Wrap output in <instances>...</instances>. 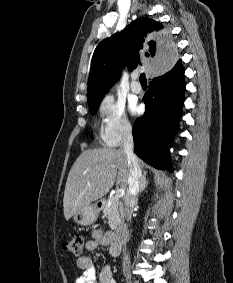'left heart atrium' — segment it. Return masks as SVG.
Listing matches in <instances>:
<instances>
[{"label":"left heart atrium","mask_w":233,"mask_h":283,"mask_svg":"<svg viewBox=\"0 0 233 283\" xmlns=\"http://www.w3.org/2000/svg\"><path fill=\"white\" fill-rule=\"evenodd\" d=\"M130 109H131L132 113H134V114L139 113V107L134 105V104L131 105Z\"/></svg>","instance_id":"39dd6f15"}]
</instances>
